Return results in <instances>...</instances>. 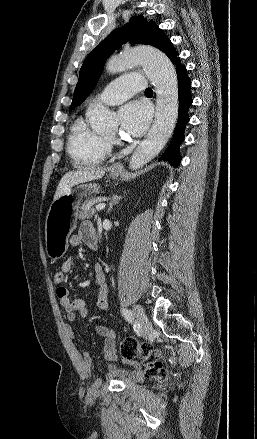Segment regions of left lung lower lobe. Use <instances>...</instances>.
<instances>
[{
	"label": "left lung lower lobe",
	"mask_w": 257,
	"mask_h": 439,
	"mask_svg": "<svg viewBox=\"0 0 257 439\" xmlns=\"http://www.w3.org/2000/svg\"><path fill=\"white\" fill-rule=\"evenodd\" d=\"M164 53L176 67L179 91V111L173 139L168 148L159 158V161H168L171 165L176 167L181 161L179 147L184 141V131L189 121L188 109L192 104V98L190 95L191 82L187 76V70L180 63V58L178 57V53L174 49L172 43L167 47Z\"/></svg>",
	"instance_id": "left-lung-lower-lobe-1"
}]
</instances>
